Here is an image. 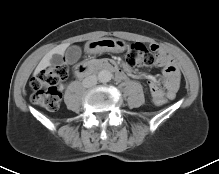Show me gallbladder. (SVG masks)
Returning a JSON list of instances; mask_svg holds the SVG:
<instances>
[{
	"label": "gallbladder",
	"instance_id": "bac80fb5",
	"mask_svg": "<svg viewBox=\"0 0 219 174\" xmlns=\"http://www.w3.org/2000/svg\"><path fill=\"white\" fill-rule=\"evenodd\" d=\"M81 48L79 46H71L68 48L67 50V61L68 63H75L79 60V58L81 57Z\"/></svg>",
	"mask_w": 219,
	"mask_h": 174
}]
</instances>
